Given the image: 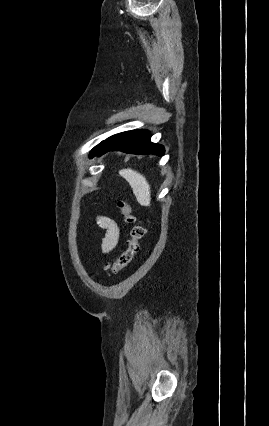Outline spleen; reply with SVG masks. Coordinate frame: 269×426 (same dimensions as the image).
Masks as SVG:
<instances>
[{"instance_id": "1", "label": "spleen", "mask_w": 269, "mask_h": 426, "mask_svg": "<svg viewBox=\"0 0 269 426\" xmlns=\"http://www.w3.org/2000/svg\"><path fill=\"white\" fill-rule=\"evenodd\" d=\"M119 174L131 186L133 193L137 199V202L141 206H150V202H151L150 185L147 182L144 175L130 168L120 170Z\"/></svg>"}]
</instances>
